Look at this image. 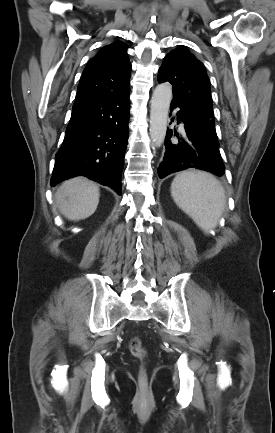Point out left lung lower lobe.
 <instances>
[{
    "label": "left lung lower lobe",
    "instance_id": "left-lung-lower-lobe-1",
    "mask_svg": "<svg viewBox=\"0 0 275 433\" xmlns=\"http://www.w3.org/2000/svg\"><path fill=\"white\" fill-rule=\"evenodd\" d=\"M180 108L177 112L178 122L184 124V133L179 135L176 131L167 129L165 138V153L163 161L158 168L160 178L187 168H196L223 176V164L217 138L205 128L198 126L192 119L191 113L184 103L173 96L171 111ZM178 139L172 141L171 137Z\"/></svg>",
    "mask_w": 275,
    "mask_h": 433
}]
</instances>
